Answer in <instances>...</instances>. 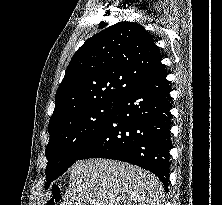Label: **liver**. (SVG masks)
Masks as SVG:
<instances>
[{"label": "liver", "instance_id": "6515ba94", "mask_svg": "<svg viewBox=\"0 0 222 205\" xmlns=\"http://www.w3.org/2000/svg\"><path fill=\"white\" fill-rule=\"evenodd\" d=\"M164 188L152 173L115 160H80L71 167L61 205H163Z\"/></svg>", "mask_w": 222, "mask_h": 205}]
</instances>
